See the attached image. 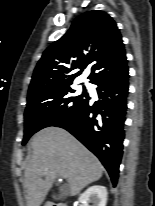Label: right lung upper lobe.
<instances>
[{"label": "right lung upper lobe", "mask_w": 155, "mask_h": 206, "mask_svg": "<svg viewBox=\"0 0 155 206\" xmlns=\"http://www.w3.org/2000/svg\"><path fill=\"white\" fill-rule=\"evenodd\" d=\"M126 64L124 44L115 21L107 13L89 11L77 17L68 32L45 50L34 70L28 96L71 85L88 65L90 82L98 84ZM77 68L80 71L72 73Z\"/></svg>", "instance_id": "1"}]
</instances>
